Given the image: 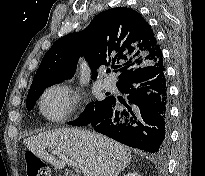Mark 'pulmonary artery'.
<instances>
[{"instance_id": "1", "label": "pulmonary artery", "mask_w": 205, "mask_h": 176, "mask_svg": "<svg viewBox=\"0 0 205 176\" xmlns=\"http://www.w3.org/2000/svg\"><path fill=\"white\" fill-rule=\"evenodd\" d=\"M103 87L105 89H114L115 88V84H114V81L111 79V78H106L103 80Z\"/></svg>"}]
</instances>
